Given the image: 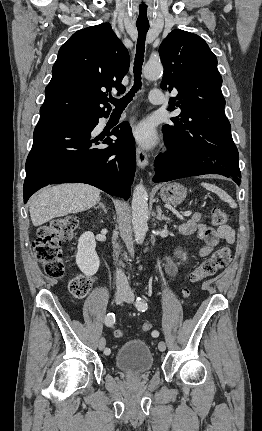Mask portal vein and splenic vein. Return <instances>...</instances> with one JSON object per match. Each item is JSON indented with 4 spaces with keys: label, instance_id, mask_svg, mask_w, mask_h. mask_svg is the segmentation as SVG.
I'll use <instances>...</instances> for the list:
<instances>
[{
    "label": "portal vein and splenic vein",
    "instance_id": "1",
    "mask_svg": "<svg viewBox=\"0 0 262 431\" xmlns=\"http://www.w3.org/2000/svg\"><path fill=\"white\" fill-rule=\"evenodd\" d=\"M191 215V211H185L184 213H183V216H190Z\"/></svg>",
    "mask_w": 262,
    "mask_h": 431
}]
</instances>
